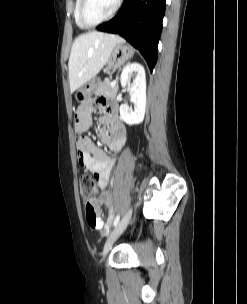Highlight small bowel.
Here are the masks:
<instances>
[{"label": "small bowel", "mask_w": 247, "mask_h": 304, "mask_svg": "<svg viewBox=\"0 0 247 304\" xmlns=\"http://www.w3.org/2000/svg\"><path fill=\"white\" fill-rule=\"evenodd\" d=\"M96 107L102 111L99 122L102 128L97 134L100 141L112 152H119L127 137L126 127L118 117L117 105L104 98H99L93 105L83 103L77 111L75 131L81 136L77 140L78 160L82 167L94 175L97 186L104 189L115 165V158L105 153L83 134L92 126V111Z\"/></svg>", "instance_id": "1"}]
</instances>
